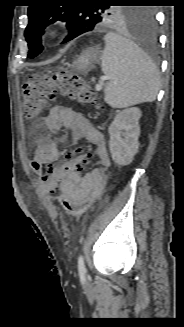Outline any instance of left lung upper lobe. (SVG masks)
I'll return each mask as SVG.
<instances>
[{
	"label": "left lung upper lobe",
	"instance_id": "5c2ea615",
	"mask_svg": "<svg viewBox=\"0 0 184 327\" xmlns=\"http://www.w3.org/2000/svg\"><path fill=\"white\" fill-rule=\"evenodd\" d=\"M47 2L35 0L28 9L29 24L25 29V39L29 58L36 57L43 50L41 35L45 27L53 22H67L69 32L77 36L103 25L137 26L147 15V10L140 7L110 6L112 3H133L134 0H100L90 5L84 0H73L72 4L64 6Z\"/></svg>",
	"mask_w": 184,
	"mask_h": 327
}]
</instances>
